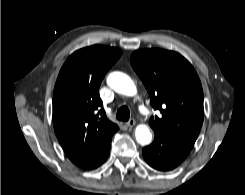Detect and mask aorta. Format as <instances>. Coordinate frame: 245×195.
Masks as SVG:
<instances>
[{
    "label": "aorta",
    "instance_id": "aorta-1",
    "mask_svg": "<svg viewBox=\"0 0 245 195\" xmlns=\"http://www.w3.org/2000/svg\"><path fill=\"white\" fill-rule=\"evenodd\" d=\"M107 84L117 93L133 96L137 89L132 79L122 72H112L107 78ZM135 137L139 144L148 145L152 140V134L146 125H138L135 129Z\"/></svg>",
    "mask_w": 245,
    "mask_h": 195
}]
</instances>
